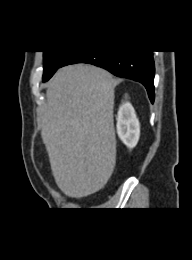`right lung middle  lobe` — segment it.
Returning <instances> with one entry per match:
<instances>
[{
	"label": "right lung middle lobe",
	"mask_w": 192,
	"mask_h": 260,
	"mask_svg": "<svg viewBox=\"0 0 192 260\" xmlns=\"http://www.w3.org/2000/svg\"><path fill=\"white\" fill-rule=\"evenodd\" d=\"M44 73L43 81L49 80L56 70L62 67L67 57L72 53L70 51H43Z\"/></svg>",
	"instance_id": "obj_1"
}]
</instances>
